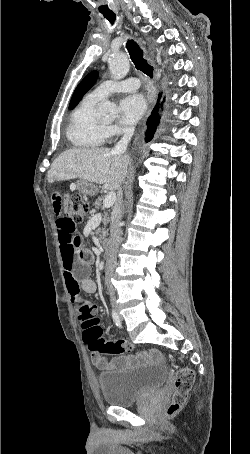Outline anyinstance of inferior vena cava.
Here are the masks:
<instances>
[{
	"label": "inferior vena cava",
	"mask_w": 250,
	"mask_h": 454,
	"mask_svg": "<svg viewBox=\"0 0 250 454\" xmlns=\"http://www.w3.org/2000/svg\"><path fill=\"white\" fill-rule=\"evenodd\" d=\"M123 137L121 140L115 145L112 150V153L124 155L129 141L134 134V127H128L123 130ZM122 190H119V199L118 203L114 208L113 211V218L111 221L110 226V243L107 249V257H106V267H105V281L110 295L111 304H114L116 301L115 298V291L110 283V278L113 275L114 269L117 264V252L119 245L121 243V236H122V229H121V218H122Z\"/></svg>",
	"instance_id": "obj_1"
}]
</instances>
